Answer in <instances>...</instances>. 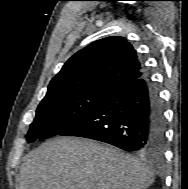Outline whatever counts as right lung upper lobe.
<instances>
[{"instance_id": "cb5924a9", "label": "right lung upper lobe", "mask_w": 188, "mask_h": 189, "mask_svg": "<svg viewBox=\"0 0 188 189\" xmlns=\"http://www.w3.org/2000/svg\"><path fill=\"white\" fill-rule=\"evenodd\" d=\"M144 75L133 46L123 37H107L69 58L51 80L46 96L88 89L113 91Z\"/></svg>"}]
</instances>
